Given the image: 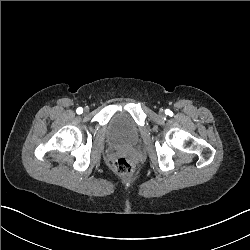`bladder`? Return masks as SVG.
<instances>
[{"instance_id":"1","label":"bladder","mask_w":250,"mask_h":250,"mask_svg":"<svg viewBox=\"0 0 250 250\" xmlns=\"http://www.w3.org/2000/svg\"><path fill=\"white\" fill-rule=\"evenodd\" d=\"M106 137L116 145L134 144L140 134L136 121L127 111H119L113 115L105 130Z\"/></svg>"}]
</instances>
